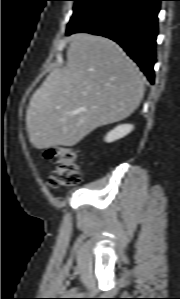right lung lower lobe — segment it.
Masks as SVG:
<instances>
[{
    "label": "right lung lower lobe",
    "mask_w": 180,
    "mask_h": 299,
    "mask_svg": "<svg viewBox=\"0 0 180 299\" xmlns=\"http://www.w3.org/2000/svg\"><path fill=\"white\" fill-rule=\"evenodd\" d=\"M160 1L104 0L68 27L66 35L87 32L114 40L153 84Z\"/></svg>",
    "instance_id": "98d812e1"
}]
</instances>
